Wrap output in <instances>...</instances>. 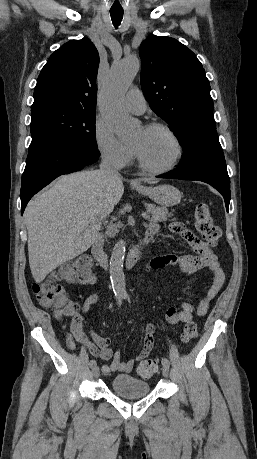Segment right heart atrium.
<instances>
[{
    "label": "right heart atrium",
    "mask_w": 257,
    "mask_h": 459,
    "mask_svg": "<svg viewBox=\"0 0 257 459\" xmlns=\"http://www.w3.org/2000/svg\"><path fill=\"white\" fill-rule=\"evenodd\" d=\"M94 139L101 158L115 168L127 166L133 159L134 149L123 143L102 121L95 123Z\"/></svg>",
    "instance_id": "1"
}]
</instances>
